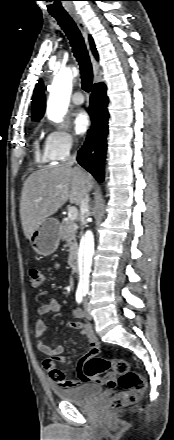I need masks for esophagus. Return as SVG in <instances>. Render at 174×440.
<instances>
[{
	"instance_id": "esophagus-1",
	"label": "esophagus",
	"mask_w": 174,
	"mask_h": 440,
	"mask_svg": "<svg viewBox=\"0 0 174 440\" xmlns=\"http://www.w3.org/2000/svg\"><path fill=\"white\" fill-rule=\"evenodd\" d=\"M72 18L75 21V23L77 24L79 30L81 31V33H82V35H83V37H84V39H85V41L87 43V46L89 48L88 32H87V28H86L85 24L83 23L81 18L79 16H77V15H72ZM90 54H91V51H90ZM91 60H92V64H93L94 73L97 74L98 70H99V67H98V65L96 63V60L94 59L92 54H91Z\"/></svg>"
}]
</instances>
